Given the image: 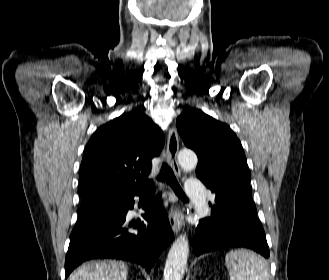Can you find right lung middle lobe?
Listing matches in <instances>:
<instances>
[{
  "mask_svg": "<svg viewBox=\"0 0 329 280\" xmlns=\"http://www.w3.org/2000/svg\"><path fill=\"white\" fill-rule=\"evenodd\" d=\"M89 202H90V200H83V201H81V207L84 206V205H86Z\"/></svg>",
  "mask_w": 329,
  "mask_h": 280,
  "instance_id": "1",
  "label": "right lung middle lobe"
}]
</instances>
